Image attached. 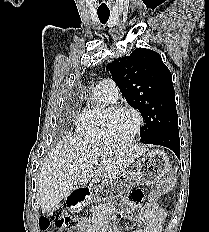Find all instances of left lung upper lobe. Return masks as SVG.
I'll return each mask as SVG.
<instances>
[{
    "mask_svg": "<svg viewBox=\"0 0 209 232\" xmlns=\"http://www.w3.org/2000/svg\"><path fill=\"white\" fill-rule=\"evenodd\" d=\"M107 68L128 104L137 108L146 122L140 130L143 143L152 144L164 130L178 127L172 75L157 52L137 48Z\"/></svg>",
    "mask_w": 209,
    "mask_h": 232,
    "instance_id": "obj_1",
    "label": "left lung upper lobe"
}]
</instances>
